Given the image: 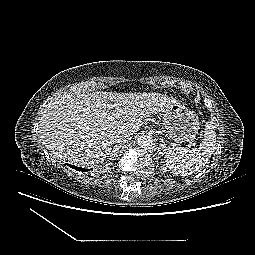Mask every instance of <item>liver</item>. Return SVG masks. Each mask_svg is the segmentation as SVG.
<instances>
[{
  "instance_id": "1",
  "label": "liver",
  "mask_w": 255,
  "mask_h": 255,
  "mask_svg": "<svg viewBox=\"0 0 255 255\" xmlns=\"http://www.w3.org/2000/svg\"><path fill=\"white\" fill-rule=\"evenodd\" d=\"M174 101L156 92L65 93L44 110L39 138L53 157L90 166L107 158L119 131L138 132L145 117Z\"/></svg>"
}]
</instances>
